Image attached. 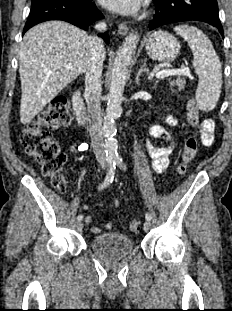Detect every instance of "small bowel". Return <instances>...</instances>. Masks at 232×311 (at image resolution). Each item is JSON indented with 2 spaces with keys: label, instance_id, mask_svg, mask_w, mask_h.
<instances>
[{
  "label": "small bowel",
  "instance_id": "small-bowel-1",
  "mask_svg": "<svg viewBox=\"0 0 232 311\" xmlns=\"http://www.w3.org/2000/svg\"><path fill=\"white\" fill-rule=\"evenodd\" d=\"M166 123L171 127H175L178 125V121L172 116H167ZM214 128L215 124L213 120L205 119L202 121L201 142L204 146H211L214 143ZM149 134L152 138L164 143L163 146L157 148L152 147L149 144L145 145L146 150L152 159V166L154 171L157 173H162L169 165L170 156L175 148L176 141L174 136L160 125L150 126ZM114 205L118 206L119 203L116 201ZM85 222L87 224H90L92 222L91 216L87 215L85 217ZM104 227L105 229H110L112 227V223L109 222ZM91 232L93 234H99L101 232V229L98 227H92Z\"/></svg>",
  "mask_w": 232,
  "mask_h": 311
}]
</instances>
